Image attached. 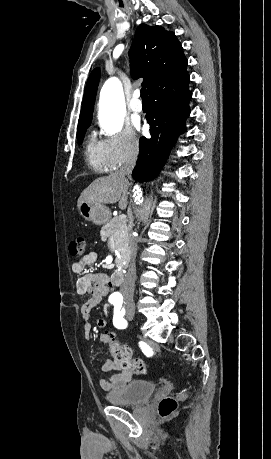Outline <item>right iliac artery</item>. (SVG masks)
<instances>
[{"label":"right iliac artery","mask_w":271,"mask_h":459,"mask_svg":"<svg viewBox=\"0 0 271 459\" xmlns=\"http://www.w3.org/2000/svg\"><path fill=\"white\" fill-rule=\"evenodd\" d=\"M109 302H110L111 304H114V305L119 304V301H118V300H115V299H113V298H111V297L109 298Z\"/></svg>","instance_id":"right-iliac-artery-1"}]
</instances>
